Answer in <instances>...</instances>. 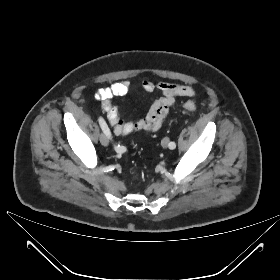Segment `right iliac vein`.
<instances>
[{
	"mask_svg": "<svg viewBox=\"0 0 280 280\" xmlns=\"http://www.w3.org/2000/svg\"><path fill=\"white\" fill-rule=\"evenodd\" d=\"M100 143L103 146H107L109 144V140H108V138L104 134L100 135Z\"/></svg>",
	"mask_w": 280,
	"mask_h": 280,
	"instance_id": "63e3f726",
	"label": "right iliac vein"
}]
</instances>
